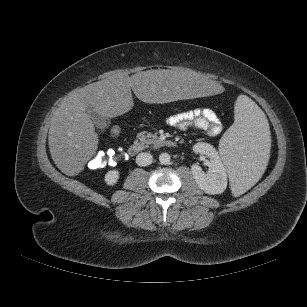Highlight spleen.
<instances>
[{"label":"spleen","instance_id":"1","mask_svg":"<svg viewBox=\"0 0 307 307\" xmlns=\"http://www.w3.org/2000/svg\"><path fill=\"white\" fill-rule=\"evenodd\" d=\"M235 121L220 140L219 152L230 172L232 194L244 193L271 157L269 124L264 112L245 95L235 102Z\"/></svg>","mask_w":307,"mask_h":307}]
</instances>
